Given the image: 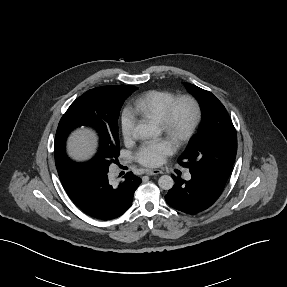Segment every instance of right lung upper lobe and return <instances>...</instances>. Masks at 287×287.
Here are the masks:
<instances>
[{"label":"right lung upper lobe","mask_w":287,"mask_h":287,"mask_svg":"<svg viewBox=\"0 0 287 287\" xmlns=\"http://www.w3.org/2000/svg\"><path fill=\"white\" fill-rule=\"evenodd\" d=\"M55 163H56V167L57 166H68V167H88V168H93L92 166H90L89 164L85 163V164H76L71 162L65 155L64 150L60 149V150H55Z\"/></svg>","instance_id":"cb5924a9"}]
</instances>
